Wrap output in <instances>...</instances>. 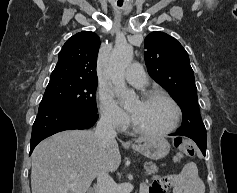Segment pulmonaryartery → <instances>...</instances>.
I'll use <instances>...</instances> for the list:
<instances>
[{
    "mask_svg": "<svg viewBox=\"0 0 237 193\" xmlns=\"http://www.w3.org/2000/svg\"><path fill=\"white\" fill-rule=\"evenodd\" d=\"M126 80L136 88H144L147 85L146 74L138 63L132 64L125 72Z\"/></svg>",
    "mask_w": 237,
    "mask_h": 193,
    "instance_id": "pulmonary-artery-1",
    "label": "pulmonary artery"
}]
</instances>
